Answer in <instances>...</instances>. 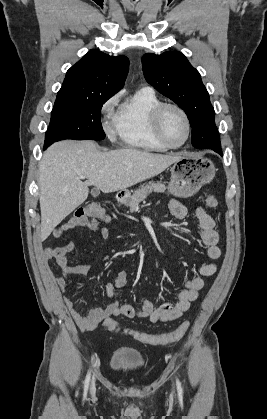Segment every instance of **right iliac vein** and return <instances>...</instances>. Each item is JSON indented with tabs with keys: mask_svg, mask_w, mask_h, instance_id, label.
I'll return each instance as SVG.
<instances>
[{
	"mask_svg": "<svg viewBox=\"0 0 267 419\" xmlns=\"http://www.w3.org/2000/svg\"><path fill=\"white\" fill-rule=\"evenodd\" d=\"M94 388H95V384H94V382L92 383V386H91V391H93L94 390Z\"/></svg>",
	"mask_w": 267,
	"mask_h": 419,
	"instance_id": "obj_1",
	"label": "right iliac vein"
}]
</instances>
